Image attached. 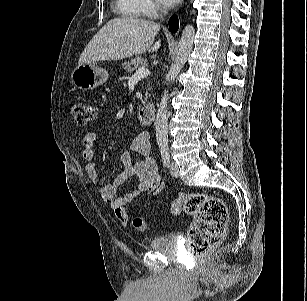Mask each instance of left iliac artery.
Listing matches in <instances>:
<instances>
[{
	"label": "left iliac artery",
	"mask_w": 307,
	"mask_h": 301,
	"mask_svg": "<svg viewBox=\"0 0 307 301\" xmlns=\"http://www.w3.org/2000/svg\"><path fill=\"white\" fill-rule=\"evenodd\" d=\"M160 153L164 166L168 167L170 164L169 148L167 146H161Z\"/></svg>",
	"instance_id": "44dca946"
}]
</instances>
